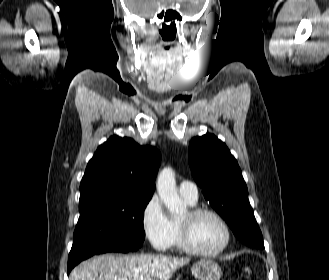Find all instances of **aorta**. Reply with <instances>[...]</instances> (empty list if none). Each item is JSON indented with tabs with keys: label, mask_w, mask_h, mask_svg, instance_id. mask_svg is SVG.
Returning <instances> with one entry per match:
<instances>
[{
	"label": "aorta",
	"mask_w": 329,
	"mask_h": 280,
	"mask_svg": "<svg viewBox=\"0 0 329 280\" xmlns=\"http://www.w3.org/2000/svg\"><path fill=\"white\" fill-rule=\"evenodd\" d=\"M157 191L160 199L172 215L181 216L186 212V206L177 192L175 173L171 168H164L159 173Z\"/></svg>",
	"instance_id": "obj_1"
}]
</instances>
